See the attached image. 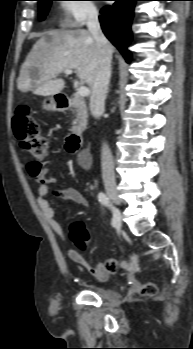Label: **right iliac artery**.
<instances>
[{"instance_id": "1", "label": "right iliac artery", "mask_w": 193, "mask_h": 349, "mask_svg": "<svg viewBox=\"0 0 193 349\" xmlns=\"http://www.w3.org/2000/svg\"><path fill=\"white\" fill-rule=\"evenodd\" d=\"M98 200H99V202H100L102 205H104V206H106V207L111 208V209L114 210V208L112 207V204H111L109 198H108V197L106 196V194H104L103 192H100V193L98 194ZM113 224H115V223H114V220H113Z\"/></svg>"}]
</instances>
